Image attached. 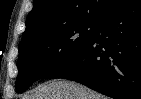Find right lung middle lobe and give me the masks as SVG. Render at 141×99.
I'll list each match as a JSON object with an SVG mask.
<instances>
[{"instance_id": "dd1d6c3e", "label": "right lung middle lobe", "mask_w": 141, "mask_h": 99, "mask_svg": "<svg viewBox=\"0 0 141 99\" xmlns=\"http://www.w3.org/2000/svg\"><path fill=\"white\" fill-rule=\"evenodd\" d=\"M96 21L78 22L20 43L16 92L65 67L94 37Z\"/></svg>"}]
</instances>
